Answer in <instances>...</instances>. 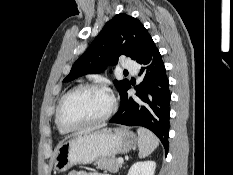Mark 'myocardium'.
Masks as SVG:
<instances>
[{
  "label": "myocardium",
  "instance_id": "obj_1",
  "mask_svg": "<svg viewBox=\"0 0 233 175\" xmlns=\"http://www.w3.org/2000/svg\"><path fill=\"white\" fill-rule=\"evenodd\" d=\"M88 89H98V90H102L104 92H106L109 97H110V107L107 110V112L102 115L101 117L79 124V125H74V126H70L67 125L63 122L61 114H62V108L64 103L67 101L68 98H70L72 95H74L75 93L82 91V90H88ZM117 108V102L116 99L114 97V95L112 94V92L103 84L100 83H86V84H81L78 85L74 88H72L71 90H69L59 101L58 105H57V109H56V115H55V121L57 126L64 132H72V131H77V130H81L84 129L86 127H90L93 125H97L100 124L106 120H108L116 111Z\"/></svg>",
  "mask_w": 233,
  "mask_h": 175
}]
</instances>
